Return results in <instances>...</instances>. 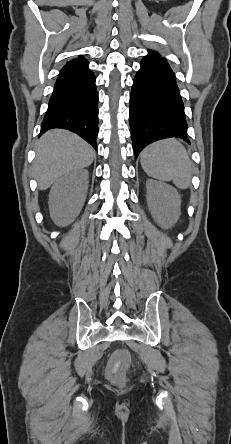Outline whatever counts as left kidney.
Returning a JSON list of instances; mask_svg holds the SVG:
<instances>
[{"label":"left kidney","mask_w":231,"mask_h":444,"mask_svg":"<svg viewBox=\"0 0 231 444\" xmlns=\"http://www.w3.org/2000/svg\"><path fill=\"white\" fill-rule=\"evenodd\" d=\"M146 199L153 219L162 227L169 228L180 217L181 196L169 184L152 179L146 181Z\"/></svg>","instance_id":"obj_1"}]
</instances>
